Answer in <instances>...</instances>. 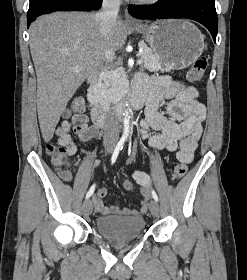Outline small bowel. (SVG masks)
Returning <instances> with one entry per match:
<instances>
[{"label": "small bowel", "mask_w": 247, "mask_h": 280, "mask_svg": "<svg viewBox=\"0 0 247 280\" xmlns=\"http://www.w3.org/2000/svg\"><path fill=\"white\" fill-rule=\"evenodd\" d=\"M136 87L142 88L148 94L145 118L140 122L139 128L141 138L147 140L153 148L177 152V159L182 163L192 162L206 115L205 106L197 100L198 91L192 86L172 80L169 76L149 78L145 74L137 76ZM164 100L168 101L167 116L158 110L159 104ZM150 130L158 133L151 135ZM55 135L58 142L66 148L68 155H74L77 152L75 138L80 141L95 138L98 128L89 124L86 115H73L59 124ZM62 178L70 181V172ZM132 179L139 186L141 194L147 198L150 188L149 176L144 172L135 171ZM106 194V189L100 186L92 198L93 207L101 215L134 216L147 212V201H144L138 210L121 209L118 204L106 206L103 202Z\"/></svg>", "instance_id": "obj_1"}]
</instances>
